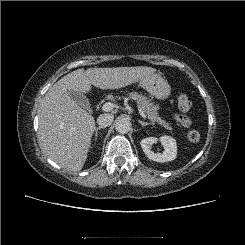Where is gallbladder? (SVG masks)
Listing matches in <instances>:
<instances>
[{
    "label": "gallbladder",
    "instance_id": "gallbladder-1",
    "mask_svg": "<svg viewBox=\"0 0 245 245\" xmlns=\"http://www.w3.org/2000/svg\"><path fill=\"white\" fill-rule=\"evenodd\" d=\"M71 98L82 108L89 110L90 109V102L89 99L81 92L76 91H68Z\"/></svg>",
    "mask_w": 245,
    "mask_h": 245
}]
</instances>
